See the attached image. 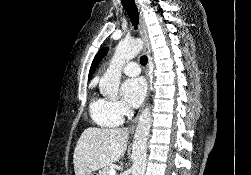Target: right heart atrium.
Returning a JSON list of instances; mask_svg holds the SVG:
<instances>
[{"instance_id": "1", "label": "right heart atrium", "mask_w": 251, "mask_h": 175, "mask_svg": "<svg viewBox=\"0 0 251 175\" xmlns=\"http://www.w3.org/2000/svg\"><path fill=\"white\" fill-rule=\"evenodd\" d=\"M110 110L118 122H123L130 115L128 108L121 102H111Z\"/></svg>"}]
</instances>
